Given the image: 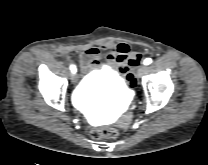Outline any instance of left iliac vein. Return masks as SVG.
<instances>
[{
	"instance_id": "1",
	"label": "left iliac vein",
	"mask_w": 208,
	"mask_h": 165,
	"mask_svg": "<svg viewBox=\"0 0 208 165\" xmlns=\"http://www.w3.org/2000/svg\"><path fill=\"white\" fill-rule=\"evenodd\" d=\"M147 67L145 65H141L137 69V77H142L144 73L146 72Z\"/></svg>"
}]
</instances>
